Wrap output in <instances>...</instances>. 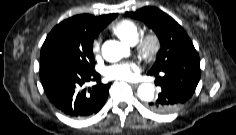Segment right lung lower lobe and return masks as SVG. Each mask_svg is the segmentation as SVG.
<instances>
[{"mask_svg":"<svg viewBox=\"0 0 236 135\" xmlns=\"http://www.w3.org/2000/svg\"><path fill=\"white\" fill-rule=\"evenodd\" d=\"M45 93L51 103L63 114L84 118L96 114L104 106L111 83L101 84L95 70L46 69L40 70ZM97 82L91 88L86 84Z\"/></svg>","mask_w":236,"mask_h":135,"instance_id":"1","label":"right lung lower lobe"}]
</instances>
